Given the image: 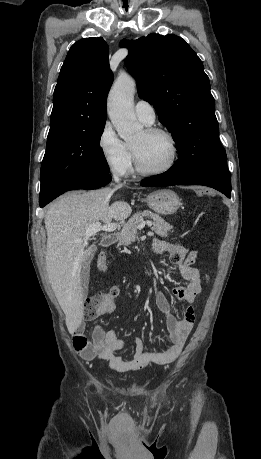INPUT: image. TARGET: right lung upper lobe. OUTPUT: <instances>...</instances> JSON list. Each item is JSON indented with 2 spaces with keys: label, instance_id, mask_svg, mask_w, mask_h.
Listing matches in <instances>:
<instances>
[{
  "label": "right lung upper lobe",
  "instance_id": "cb5924a9",
  "mask_svg": "<svg viewBox=\"0 0 261 459\" xmlns=\"http://www.w3.org/2000/svg\"><path fill=\"white\" fill-rule=\"evenodd\" d=\"M112 82L109 49L102 38H85L73 44L54 90L48 135L106 122V99Z\"/></svg>",
  "mask_w": 261,
  "mask_h": 459
}]
</instances>
